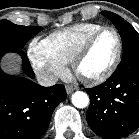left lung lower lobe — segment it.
I'll list each match as a JSON object with an SVG mask.
<instances>
[{
	"label": "left lung lower lobe",
	"mask_w": 139,
	"mask_h": 139,
	"mask_svg": "<svg viewBox=\"0 0 139 139\" xmlns=\"http://www.w3.org/2000/svg\"><path fill=\"white\" fill-rule=\"evenodd\" d=\"M90 128L104 139H122L139 128V48L123 55L116 71L99 86L86 89Z\"/></svg>",
	"instance_id": "1"
}]
</instances>
